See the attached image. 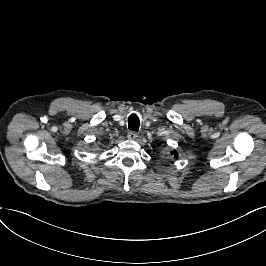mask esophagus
Returning <instances> with one entry per match:
<instances>
[{"mask_svg":"<svg viewBox=\"0 0 266 266\" xmlns=\"http://www.w3.org/2000/svg\"><path fill=\"white\" fill-rule=\"evenodd\" d=\"M127 137L130 140H135L138 137V134L134 131H130L128 132Z\"/></svg>","mask_w":266,"mask_h":266,"instance_id":"esophagus-1","label":"esophagus"}]
</instances>
